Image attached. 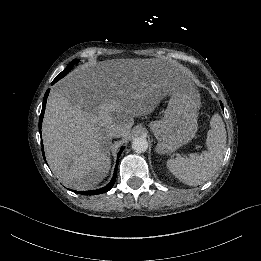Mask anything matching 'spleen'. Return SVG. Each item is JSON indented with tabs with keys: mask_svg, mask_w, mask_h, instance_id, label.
Instances as JSON below:
<instances>
[{
	"mask_svg": "<svg viewBox=\"0 0 261 261\" xmlns=\"http://www.w3.org/2000/svg\"><path fill=\"white\" fill-rule=\"evenodd\" d=\"M206 143L208 149L202 153L190 152L185 158L166 160L167 169L187 185H201L216 174L226 150V131L219 115H214L211 119Z\"/></svg>",
	"mask_w": 261,
	"mask_h": 261,
	"instance_id": "spleen-1",
	"label": "spleen"
}]
</instances>
